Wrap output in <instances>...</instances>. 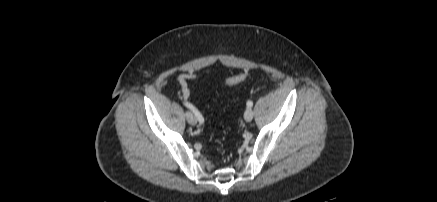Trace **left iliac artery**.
Returning a JSON list of instances; mask_svg holds the SVG:
<instances>
[{
	"label": "left iliac artery",
	"instance_id": "44dca946",
	"mask_svg": "<svg viewBox=\"0 0 437 202\" xmlns=\"http://www.w3.org/2000/svg\"><path fill=\"white\" fill-rule=\"evenodd\" d=\"M247 106H248V107H252V106H253V102H252V101H248V102H247Z\"/></svg>",
	"mask_w": 437,
	"mask_h": 202
}]
</instances>
